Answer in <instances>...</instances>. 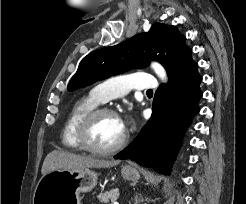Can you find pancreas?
Listing matches in <instances>:
<instances>
[{"mask_svg": "<svg viewBox=\"0 0 246 204\" xmlns=\"http://www.w3.org/2000/svg\"><path fill=\"white\" fill-rule=\"evenodd\" d=\"M119 192L117 190L106 191L104 193H100L97 196V199L104 204L109 203L110 201H114L118 198Z\"/></svg>", "mask_w": 246, "mask_h": 204, "instance_id": "obj_1", "label": "pancreas"}]
</instances>
